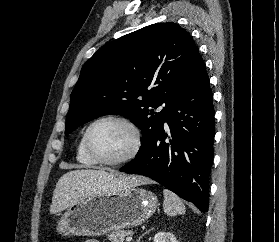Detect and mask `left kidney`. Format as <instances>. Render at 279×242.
I'll return each instance as SVG.
<instances>
[{"instance_id":"5707ae66","label":"left kidney","mask_w":279,"mask_h":242,"mask_svg":"<svg viewBox=\"0 0 279 242\" xmlns=\"http://www.w3.org/2000/svg\"><path fill=\"white\" fill-rule=\"evenodd\" d=\"M154 242H178L173 233L160 231L155 234Z\"/></svg>"}]
</instances>
